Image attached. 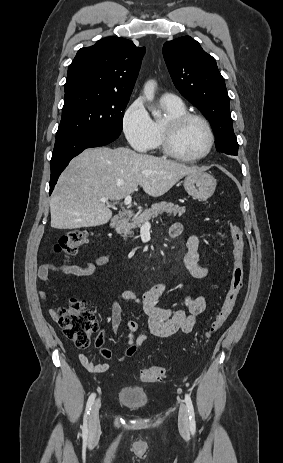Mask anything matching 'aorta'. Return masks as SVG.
<instances>
[{
  "label": "aorta",
  "instance_id": "aorta-1",
  "mask_svg": "<svg viewBox=\"0 0 283 463\" xmlns=\"http://www.w3.org/2000/svg\"><path fill=\"white\" fill-rule=\"evenodd\" d=\"M156 82L153 80L148 81L145 86H144V95L147 101L151 102L154 99V94H155V88H156ZM152 115L155 118H158L160 116V112L156 110H152Z\"/></svg>",
  "mask_w": 283,
  "mask_h": 463
}]
</instances>
